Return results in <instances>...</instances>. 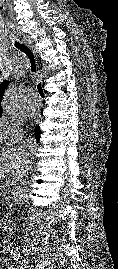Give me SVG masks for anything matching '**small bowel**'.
<instances>
[{
    "instance_id": "small-bowel-1",
    "label": "small bowel",
    "mask_w": 118,
    "mask_h": 269,
    "mask_svg": "<svg viewBox=\"0 0 118 269\" xmlns=\"http://www.w3.org/2000/svg\"><path fill=\"white\" fill-rule=\"evenodd\" d=\"M6 266H7L6 261L5 260H1V267H0V269L4 268Z\"/></svg>"
}]
</instances>
